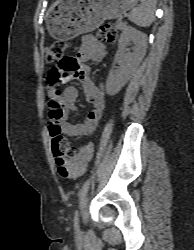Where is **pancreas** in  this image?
I'll list each match as a JSON object with an SVG mask.
<instances>
[{
	"label": "pancreas",
	"instance_id": "cf45deb5",
	"mask_svg": "<svg viewBox=\"0 0 194 250\" xmlns=\"http://www.w3.org/2000/svg\"><path fill=\"white\" fill-rule=\"evenodd\" d=\"M125 26H126V23H125V22H122L121 19H118V20L116 21L115 27H116L118 30H123V29L125 28Z\"/></svg>",
	"mask_w": 194,
	"mask_h": 250
}]
</instances>
